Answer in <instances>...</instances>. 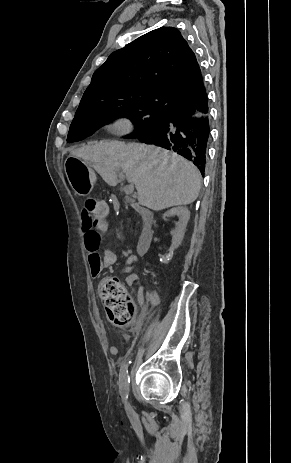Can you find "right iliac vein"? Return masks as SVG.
I'll use <instances>...</instances> for the list:
<instances>
[{
  "mask_svg": "<svg viewBox=\"0 0 291 463\" xmlns=\"http://www.w3.org/2000/svg\"><path fill=\"white\" fill-rule=\"evenodd\" d=\"M130 408V405L126 402V409L128 410Z\"/></svg>",
  "mask_w": 291,
  "mask_h": 463,
  "instance_id": "1",
  "label": "right iliac vein"
}]
</instances>
